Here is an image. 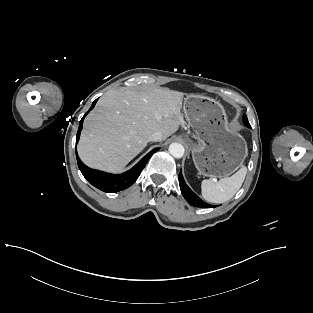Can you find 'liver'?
Returning <instances> with one entry per match:
<instances>
[{"label":"liver","mask_w":313,"mask_h":313,"mask_svg":"<svg viewBox=\"0 0 313 313\" xmlns=\"http://www.w3.org/2000/svg\"><path fill=\"white\" fill-rule=\"evenodd\" d=\"M184 94L165 88L107 91L84 121L78 154L89 167L120 172L160 131L163 140L184 124Z\"/></svg>","instance_id":"obj_1"}]
</instances>
